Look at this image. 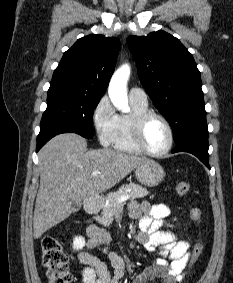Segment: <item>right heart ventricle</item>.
I'll list each match as a JSON object with an SVG mask.
<instances>
[{
  "label": "right heart ventricle",
  "instance_id": "right-heart-ventricle-1",
  "mask_svg": "<svg viewBox=\"0 0 233 283\" xmlns=\"http://www.w3.org/2000/svg\"><path fill=\"white\" fill-rule=\"evenodd\" d=\"M131 105L132 112L130 114L117 115L112 145L117 151L140 154L141 151L136 147L132 138V121L137 114L149 111V108L148 104L131 102Z\"/></svg>",
  "mask_w": 233,
  "mask_h": 283
}]
</instances>
